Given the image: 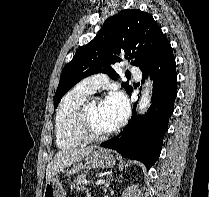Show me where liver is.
I'll list each match as a JSON object with an SVG mask.
<instances>
[{
    "mask_svg": "<svg viewBox=\"0 0 209 197\" xmlns=\"http://www.w3.org/2000/svg\"><path fill=\"white\" fill-rule=\"evenodd\" d=\"M93 147L75 148L59 151L48 164L46 170V182L50 181L59 171L76 162L85 160L92 153Z\"/></svg>",
    "mask_w": 209,
    "mask_h": 197,
    "instance_id": "liver-1",
    "label": "liver"
}]
</instances>
